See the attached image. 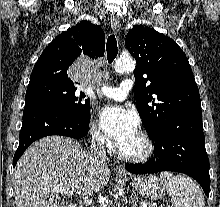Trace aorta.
Segmentation results:
<instances>
[{
    "mask_svg": "<svg viewBox=\"0 0 220 207\" xmlns=\"http://www.w3.org/2000/svg\"><path fill=\"white\" fill-rule=\"evenodd\" d=\"M136 62L132 57H120L114 65L116 73L123 74L126 72L134 71Z\"/></svg>",
    "mask_w": 220,
    "mask_h": 207,
    "instance_id": "obj_1",
    "label": "aorta"
}]
</instances>
